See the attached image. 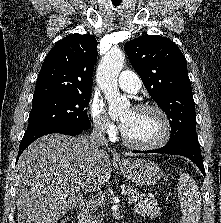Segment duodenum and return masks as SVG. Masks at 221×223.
Instances as JSON below:
<instances>
[{"label":"duodenum","mask_w":221,"mask_h":223,"mask_svg":"<svg viewBox=\"0 0 221 223\" xmlns=\"http://www.w3.org/2000/svg\"><path fill=\"white\" fill-rule=\"evenodd\" d=\"M89 211V208L86 203H81L77 209V218L79 223H86V215Z\"/></svg>","instance_id":"duodenum-1"}]
</instances>
